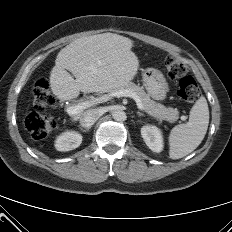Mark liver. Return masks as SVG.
<instances>
[{"label":"liver","instance_id":"liver-1","mask_svg":"<svg viewBox=\"0 0 232 232\" xmlns=\"http://www.w3.org/2000/svg\"><path fill=\"white\" fill-rule=\"evenodd\" d=\"M127 37L103 33L79 38L58 53L50 72V88L61 101L83 93H108L129 83L137 73L139 61ZM73 74H71L69 72ZM85 111L70 115L80 119Z\"/></svg>","mask_w":232,"mask_h":232}]
</instances>
